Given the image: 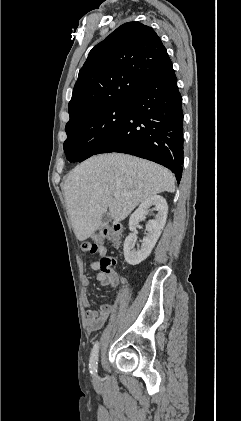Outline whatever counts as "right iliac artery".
<instances>
[{"label": "right iliac artery", "mask_w": 241, "mask_h": 421, "mask_svg": "<svg viewBox=\"0 0 241 421\" xmlns=\"http://www.w3.org/2000/svg\"><path fill=\"white\" fill-rule=\"evenodd\" d=\"M98 352H99V343L95 342L94 347L91 351V356L89 360V368L91 374L95 375L98 367Z\"/></svg>", "instance_id": "obj_1"}]
</instances>
